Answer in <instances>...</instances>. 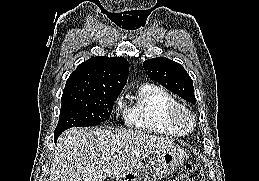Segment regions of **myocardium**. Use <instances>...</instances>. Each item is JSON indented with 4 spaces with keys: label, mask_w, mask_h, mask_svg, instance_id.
Instances as JSON below:
<instances>
[{
    "label": "myocardium",
    "mask_w": 259,
    "mask_h": 181,
    "mask_svg": "<svg viewBox=\"0 0 259 181\" xmlns=\"http://www.w3.org/2000/svg\"><path fill=\"white\" fill-rule=\"evenodd\" d=\"M173 120L176 124L186 130H191L195 125L194 115L184 106L179 107L173 113Z\"/></svg>",
    "instance_id": "1"
}]
</instances>
